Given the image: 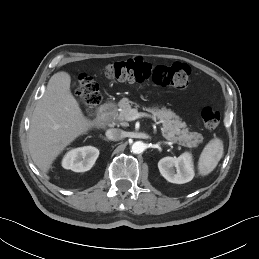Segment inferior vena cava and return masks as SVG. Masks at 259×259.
Masks as SVG:
<instances>
[{"label":"inferior vena cava","mask_w":259,"mask_h":259,"mask_svg":"<svg viewBox=\"0 0 259 259\" xmlns=\"http://www.w3.org/2000/svg\"><path fill=\"white\" fill-rule=\"evenodd\" d=\"M106 137L112 141H119L124 138V132L117 128L108 129L106 131Z\"/></svg>","instance_id":"obj_1"}]
</instances>
